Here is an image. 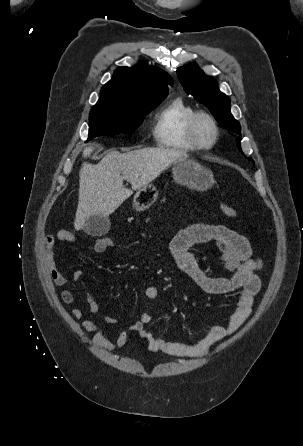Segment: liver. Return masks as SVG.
<instances>
[{
	"instance_id": "obj_1",
	"label": "liver",
	"mask_w": 303,
	"mask_h": 446,
	"mask_svg": "<svg viewBox=\"0 0 303 446\" xmlns=\"http://www.w3.org/2000/svg\"><path fill=\"white\" fill-rule=\"evenodd\" d=\"M93 151L86 147L83 156ZM187 158L181 151L163 148L139 149L127 153L111 151L96 165L84 162L79 172V202L74 222L84 228L91 216L108 217L134 190L146 186L172 163ZM131 183L125 188L123 181Z\"/></svg>"
}]
</instances>
